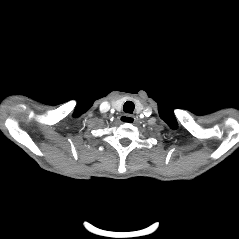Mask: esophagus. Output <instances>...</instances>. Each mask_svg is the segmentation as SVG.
I'll use <instances>...</instances> for the list:
<instances>
[{
	"mask_svg": "<svg viewBox=\"0 0 239 239\" xmlns=\"http://www.w3.org/2000/svg\"><path fill=\"white\" fill-rule=\"evenodd\" d=\"M121 120L123 122H129V123H134L137 118L134 116V115H130V114H124L122 117H121Z\"/></svg>",
	"mask_w": 239,
	"mask_h": 239,
	"instance_id": "obj_1",
	"label": "esophagus"
}]
</instances>
